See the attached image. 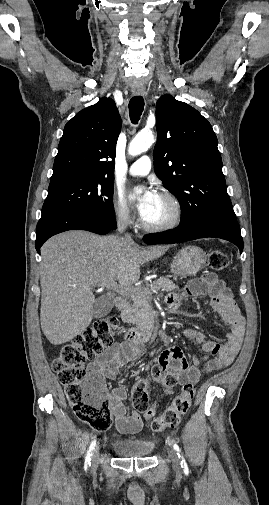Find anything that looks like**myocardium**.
Wrapping results in <instances>:
<instances>
[{
    "label": "myocardium",
    "instance_id": "myocardium-1",
    "mask_svg": "<svg viewBox=\"0 0 269 505\" xmlns=\"http://www.w3.org/2000/svg\"><path fill=\"white\" fill-rule=\"evenodd\" d=\"M159 195L166 198L171 202L174 207V216L173 218L163 224L152 225L145 222L144 219L141 220V225L143 229L149 232H165L172 230L180 225L183 220L184 210L180 200L171 192L167 190H162L159 192Z\"/></svg>",
    "mask_w": 269,
    "mask_h": 505
}]
</instances>
